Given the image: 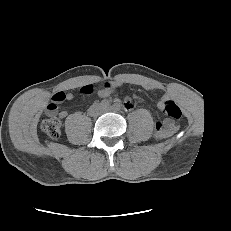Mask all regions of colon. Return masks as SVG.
<instances>
[{"label": "colon", "mask_w": 231, "mask_h": 231, "mask_svg": "<svg viewBox=\"0 0 231 231\" xmlns=\"http://www.w3.org/2000/svg\"><path fill=\"white\" fill-rule=\"evenodd\" d=\"M107 87V86H106ZM83 94H91L93 86L86 85L81 88ZM58 96H53L52 102L47 107V115L42 119L41 128L51 138H58L61 134L60 120L55 116L56 101ZM164 114L170 119L165 126L157 124L156 133L159 137L166 136L172 129V120H178L182 116L180 107L171 99H165L162 105Z\"/></svg>", "instance_id": "colon-1"}]
</instances>
